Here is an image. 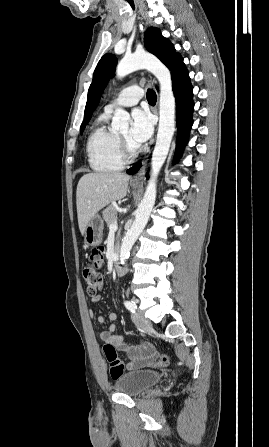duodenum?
Wrapping results in <instances>:
<instances>
[{
    "label": "duodenum",
    "mask_w": 269,
    "mask_h": 447,
    "mask_svg": "<svg viewBox=\"0 0 269 447\" xmlns=\"http://www.w3.org/2000/svg\"><path fill=\"white\" fill-rule=\"evenodd\" d=\"M118 259H119L118 254L115 253L112 256L113 269L115 272L123 274L127 271V266L125 264H118Z\"/></svg>",
    "instance_id": "duodenum-1"
}]
</instances>
